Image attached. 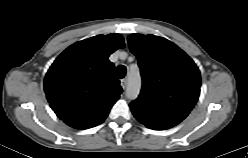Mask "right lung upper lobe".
Segmentation results:
<instances>
[{
    "instance_id": "1",
    "label": "right lung upper lobe",
    "mask_w": 248,
    "mask_h": 158,
    "mask_svg": "<svg viewBox=\"0 0 248 158\" xmlns=\"http://www.w3.org/2000/svg\"><path fill=\"white\" fill-rule=\"evenodd\" d=\"M125 46L120 34L97 35L64 50L49 68L44 90L56 115L76 129L101 124L122 93L108 57Z\"/></svg>"
}]
</instances>
